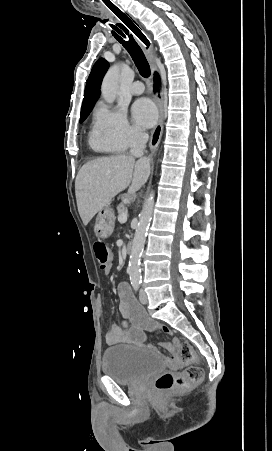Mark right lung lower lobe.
Instances as JSON below:
<instances>
[{
    "label": "right lung lower lobe",
    "instance_id": "obj_1",
    "mask_svg": "<svg viewBox=\"0 0 272 451\" xmlns=\"http://www.w3.org/2000/svg\"><path fill=\"white\" fill-rule=\"evenodd\" d=\"M158 77L157 76H155V81H156V79H157Z\"/></svg>",
    "mask_w": 272,
    "mask_h": 451
}]
</instances>
